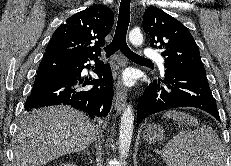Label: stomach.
Segmentation results:
<instances>
[{
	"instance_id": "stomach-1",
	"label": "stomach",
	"mask_w": 231,
	"mask_h": 166,
	"mask_svg": "<svg viewBox=\"0 0 231 166\" xmlns=\"http://www.w3.org/2000/svg\"><path fill=\"white\" fill-rule=\"evenodd\" d=\"M164 129L159 125H149L144 133L143 137L147 143H155L163 139Z\"/></svg>"
}]
</instances>
